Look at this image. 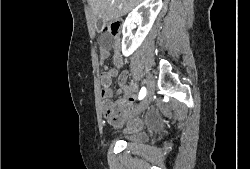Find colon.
<instances>
[{"label":"colon","instance_id":"1","mask_svg":"<svg viewBox=\"0 0 250 169\" xmlns=\"http://www.w3.org/2000/svg\"><path fill=\"white\" fill-rule=\"evenodd\" d=\"M121 25L118 22L105 25L103 27V33L106 35V37L111 40L116 37H118L121 33Z\"/></svg>","mask_w":250,"mask_h":169}]
</instances>
